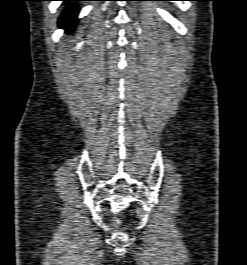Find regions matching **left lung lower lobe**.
<instances>
[{
	"label": "left lung lower lobe",
	"instance_id": "0a47b994",
	"mask_svg": "<svg viewBox=\"0 0 247 265\" xmlns=\"http://www.w3.org/2000/svg\"><path fill=\"white\" fill-rule=\"evenodd\" d=\"M164 1H173V0H164Z\"/></svg>",
	"mask_w": 247,
	"mask_h": 265
}]
</instances>
